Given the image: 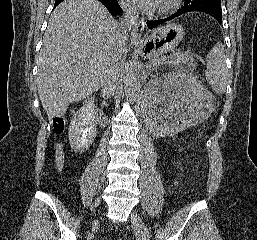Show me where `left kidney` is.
Here are the masks:
<instances>
[{
	"mask_svg": "<svg viewBox=\"0 0 257 240\" xmlns=\"http://www.w3.org/2000/svg\"><path fill=\"white\" fill-rule=\"evenodd\" d=\"M209 93L185 71L169 72L144 87V114L150 130L172 136L207 117Z\"/></svg>",
	"mask_w": 257,
	"mask_h": 240,
	"instance_id": "5707ae66",
	"label": "left kidney"
}]
</instances>
